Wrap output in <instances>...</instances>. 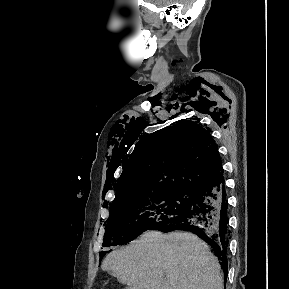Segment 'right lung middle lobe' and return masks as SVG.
<instances>
[{
	"label": "right lung middle lobe",
	"mask_w": 289,
	"mask_h": 289,
	"mask_svg": "<svg viewBox=\"0 0 289 289\" xmlns=\"http://www.w3.org/2000/svg\"><path fill=\"white\" fill-rule=\"evenodd\" d=\"M192 191L178 189L138 195L110 207L104 247L127 243L186 211Z\"/></svg>",
	"instance_id": "right-lung-middle-lobe-1"
}]
</instances>
